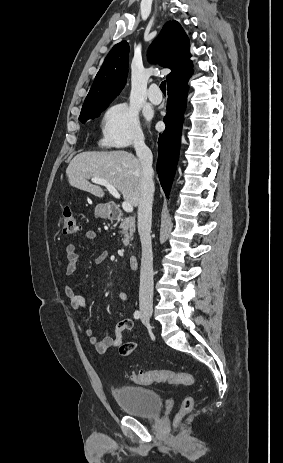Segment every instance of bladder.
<instances>
[{
    "instance_id": "1",
    "label": "bladder",
    "mask_w": 283,
    "mask_h": 463,
    "mask_svg": "<svg viewBox=\"0 0 283 463\" xmlns=\"http://www.w3.org/2000/svg\"><path fill=\"white\" fill-rule=\"evenodd\" d=\"M113 396L120 408L134 417L152 419L159 416L162 411V399L151 389L120 386L113 390Z\"/></svg>"
}]
</instances>
